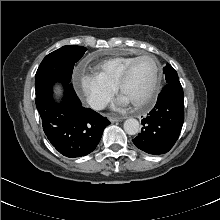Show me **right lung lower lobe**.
<instances>
[{"instance_id":"98d812e1","label":"right lung lower lobe","mask_w":220,"mask_h":220,"mask_svg":"<svg viewBox=\"0 0 220 220\" xmlns=\"http://www.w3.org/2000/svg\"><path fill=\"white\" fill-rule=\"evenodd\" d=\"M64 87L65 95L60 103L53 100L52 86L36 95L43 130L62 155L85 156L96 148L110 122L92 109L82 107L70 84H64Z\"/></svg>"}]
</instances>
